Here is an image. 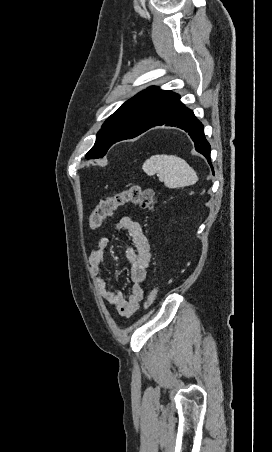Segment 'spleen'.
Segmentation results:
<instances>
[{"label":"spleen","instance_id":"3e777b00","mask_svg":"<svg viewBox=\"0 0 272 452\" xmlns=\"http://www.w3.org/2000/svg\"><path fill=\"white\" fill-rule=\"evenodd\" d=\"M147 175L159 174V180L169 188L193 185L198 181L194 169L182 158L175 155H154L143 164Z\"/></svg>","mask_w":272,"mask_h":452}]
</instances>
